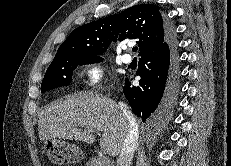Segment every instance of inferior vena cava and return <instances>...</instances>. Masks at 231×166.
I'll return each mask as SVG.
<instances>
[{"instance_id":"602c4592","label":"inferior vena cava","mask_w":231,"mask_h":166,"mask_svg":"<svg viewBox=\"0 0 231 166\" xmlns=\"http://www.w3.org/2000/svg\"><path fill=\"white\" fill-rule=\"evenodd\" d=\"M118 105L123 116L129 123V129L117 159V166H130L138 144V125L128 106L123 102H119Z\"/></svg>"}]
</instances>
